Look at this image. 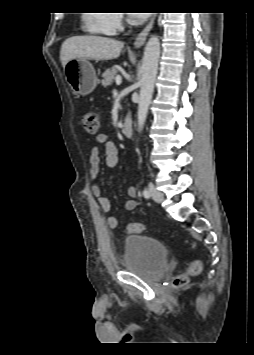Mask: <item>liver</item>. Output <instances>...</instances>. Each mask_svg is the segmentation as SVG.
<instances>
[{
	"label": "liver",
	"mask_w": 254,
	"mask_h": 355,
	"mask_svg": "<svg viewBox=\"0 0 254 355\" xmlns=\"http://www.w3.org/2000/svg\"><path fill=\"white\" fill-rule=\"evenodd\" d=\"M124 43L112 38L85 35L66 39L60 50V60L65 68L72 59L109 60L119 57Z\"/></svg>",
	"instance_id": "1"
}]
</instances>
